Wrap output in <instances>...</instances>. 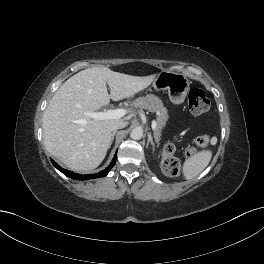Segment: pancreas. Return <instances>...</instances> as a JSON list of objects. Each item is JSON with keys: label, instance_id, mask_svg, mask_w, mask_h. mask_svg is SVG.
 Wrapping results in <instances>:
<instances>
[{"label": "pancreas", "instance_id": "pancreas-1", "mask_svg": "<svg viewBox=\"0 0 264 264\" xmlns=\"http://www.w3.org/2000/svg\"><path fill=\"white\" fill-rule=\"evenodd\" d=\"M133 106L135 108L146 109L150 112L158 113L157 128L154 134L155 139L158 142L161 137V131L163 127L166 125V121L168 120V112L162 100L155 95L148 94L144 97L136 98L133 101Z\"/></svg>", "mask_w": 264, "mask_h": 264}]
</instances>
